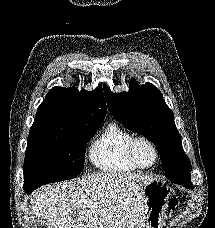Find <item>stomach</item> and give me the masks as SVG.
Wrapping results in <instances>:
<instances>
[{"label":"stomach","mask_w":215,"mask_h":228,"mask_svg":"<svg viewBox=\"0 0 215 228\" xmlns=\"http://www.w3.org/2000/svg\"><path fill=\"white\" fill-rule=\"evenodd\" d=\"M145 228H163L173 190L161 180H151L142 186Z\"/></svg>","instance_id":"stomach-1"}]
</instances>
